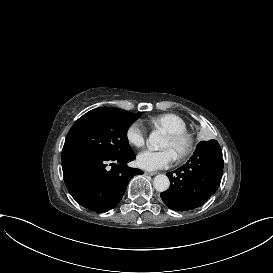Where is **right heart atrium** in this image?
Returning a JSON list of instances; mask_svg holds the SVG:
<instances>
[{"mask_svg":"<svg viewBox=\"0 0 273 273\" xmlns=\"http://www.w3.org/2000/svg\"><path fill=\"white\" fill-rule=\"evenodd\" d=\"M146 136L147 131L139 122L131 123L126 130L128 142L137 147H141L145 144Z\"/></svg>","mask_w":273,"mask_h":273,"instance_id":"obj_1","label":"right heart atrium"}]
</instances>
